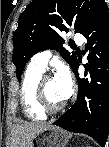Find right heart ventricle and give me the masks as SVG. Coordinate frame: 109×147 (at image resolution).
I'll return each instance as SVG.
<instances>
[{
    "instance_id": "right-heart-ventricle-1",
    "label": "right heart ventricle",
    "mask_w": 109,
    "mask_h": 147,
    "mask_svg": "<svg viewBox=\"0 0 109 147\" xmlns=\"http://www.w3.org/2000/svg\"><path fill=\"white\" fill-rule=\"evenodd\" d=\"M43 71L27 67L21 84L20 100L26 117L32 121H42L47 113L42 111L36 102V88Z\"/></svg>"
}]
</instances>
